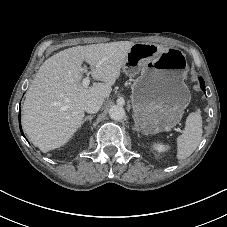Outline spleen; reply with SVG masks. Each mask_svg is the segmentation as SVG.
Segmentation results:
<instances>
[{"instance_id":"3e777b00","label":"spleen","mask_w":227,"mask_h":227,"mask_svg":"<svg viewBox=\"0 0 227 227\" xmlns=\"http://www.w3.org/2000/svg\"><path fill=\"white\" fill-rule=\"evenodd\" d=\"M202 133L201 112L197 110L188 115L184 131L177 138V159H186L195 151L201 141Z\"/></svg>"}]
</instances>
